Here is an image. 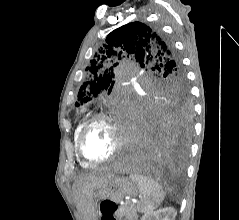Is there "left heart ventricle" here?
Returning <instances> with one entry per match:
<instances>
[{"mask_svg":"<svg viewBox=\"0 0 239 220\" xmlns=\"http://www.w3.org/2000/svg\"><path fill=\"white\" fill-rule=\"evenodd\" d=\"M117 135L110 124L98 123L86 135L84 148L92 159H104L115 149Z\"/></svg>","mask_w":239,"mask_h":220,"instance_id":"1","label":"left heart ventricle"}]
</instances>
